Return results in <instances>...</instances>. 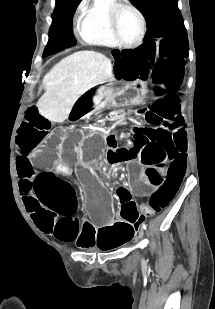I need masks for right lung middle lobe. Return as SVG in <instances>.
Masks as SVG:
<instances>
[{"mask_svg": "<svg viewBox=\"0 0 215 309\" xmlns=\"http://www.w3.org/2000/svg\"><path fill=\"white\" fill-rule=\"evenodd\" d=\"M81 0H56L52 15L53 23L49 30L48 45L43 57L76 45L72 32V19Z\"/></svg>", "mask_w": 215, "mask_h": 309, "instance_id": "obj_1", "label": "right lung middle lobe"}]
</instances>
